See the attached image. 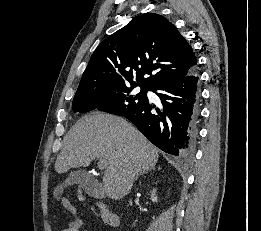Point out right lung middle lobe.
<instances>
[{"label": "right lung middle lobe", "mask_w": 261, "mask_h": 231, "mask_svg": "<svg viewBox=\"0 0 261 231\" xmlns=\"http://www.w3.org/2000/svg\"><path fill=\"white\" fill-rule=\"evenodd\" d=\"M135 87L136 85H126L75 96L73 111L85 113L98 108L100 111L122 116L148 102L146 93L149 89L141 88V91L135 94L132 92Z\"/></svg>", "instance_id": "1"}]
</instances>
